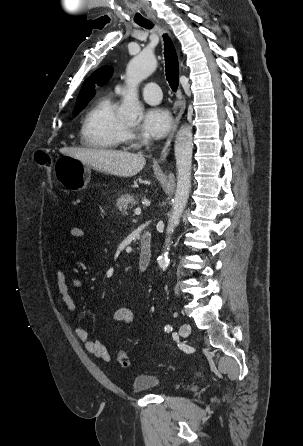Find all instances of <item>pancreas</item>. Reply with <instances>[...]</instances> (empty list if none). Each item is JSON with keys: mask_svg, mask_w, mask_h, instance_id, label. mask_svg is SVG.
Segmentation results:
<instances>
[{"mask_svg": "<svg viewBox=\"0 0 303 446\" xmlns=\"http://www.w3.org/2000/svg\"><path fill=\"white\" fill-rule=\"evenodd\" d=\"M135 204L136 201L130 194L120 196L116 202V206L122 212V214H127V210L131 209Z\"/></svg>", "mask_w": 303, "mask_h": 446, "instance_id": "cf45deb5", "label": "pancreas"}]
</instances>
